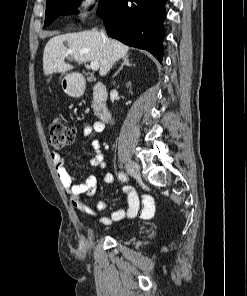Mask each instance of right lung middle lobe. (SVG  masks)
<instances>
[{
    "instance_id": "obj_1",
    "label": "right lung middle lobe",
    "mask_w": 247,
    "mask_h": 296,
    "mask_svg": "<svg viewBox=\"0 0 247 296\" xmlns=\"http://www.w3.org/2000/svg\"><path fill=\"white\" fill-rule=\"evenodd\" d=\"M82 0H47L45 26L50 25L60 15L76 12L74 9ZM112 0H100L98 13L104 11Z\"/></svg>"
}]
</instances>
